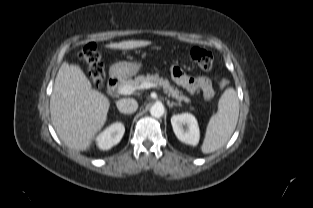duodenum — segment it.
Masks as SVG:
<instances>
[{
  "instance_id": "duodenum-1",
  "label": "duodenum",
  "mask_w": 313,
  "mask_h": 208,
  "mask_svg": "<svg viewBox=\"0 0 313 208\" xmlns=\"http://www.w3.org/2000/svg\"><path fill=\"white\" fill-rule=\"evenodd\" d=\"M119 80H120V77L118 73L115 70H112V72L110 73L108 82H107V87H106L107 92L113 93L118 86Z\"/></svg>"
}]
</instances>
